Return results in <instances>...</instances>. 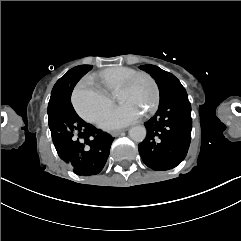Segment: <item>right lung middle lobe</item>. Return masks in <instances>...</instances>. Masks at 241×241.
<instances>
[{"mask_svg":"<svg viewBox=\"0 0 241 241\" xmlns=\"http://www.w3.org/2000/svg\"><path fill=\"white\" fill-rule=\"evenodd\" d=\"M77 67L69 70L53 87L48 104V123L53 141L57 138L60 125L67 116L76 115L70 103L72 91L69 89V79Z\"/></svg>","mask_w":241,"mask_h":241,"instance_id":"dd1d6c3e","label":"right lung middle lobe"}]
</instances>
